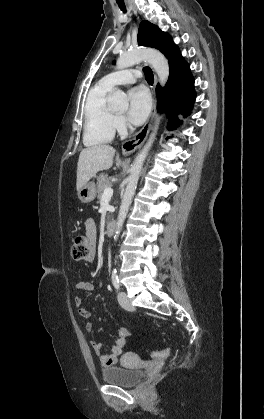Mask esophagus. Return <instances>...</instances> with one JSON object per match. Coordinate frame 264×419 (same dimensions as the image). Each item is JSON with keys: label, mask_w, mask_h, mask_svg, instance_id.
<instances>
[{"label": "esophagus", "mask_w": 264, "mask_h": 419, "mask_svg": "<svg viewBox=\"0 0 264 419\" xmlns=\"http://www.w3.org/2000/svg\"><path fill=\"white\" fill-rule=\"evenodd\" d=\"M155 110H156V103L154 102L150 118L147 120L144 126L140 129L139 132L136 133V135L133 138L125 141L122 144V153L124 155L132 154L144 143V141L146 140L149 134L151 123L155 114Z\"/></svg>", "instance_id": "esophagus-1"}]
</instances>
